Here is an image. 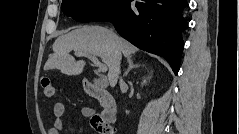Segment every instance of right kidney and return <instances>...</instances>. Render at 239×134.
I'll use <instances>...</instances> for the list:
<instances>
[{
    "mask_svg": "<svg viewBox=\"0 0 239 134\" xmlns=\"http://www.w3.org/2000/svg\"><path fill=\"white\" fill-rule=\"evenodd\" d=\"M146 83H147V81L144 79L143 82H142V85H144V84H146Z\"/></svg>",
    "mask_w": 239,
    "mask_h": 134,
    "instance_id": "obj_1",
    "label": "right kidney"
}]
</instances>
